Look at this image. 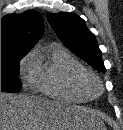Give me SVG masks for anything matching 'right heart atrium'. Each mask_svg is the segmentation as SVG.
<instances>
[{
	"label": "right heart atrium",
	"mask_w": 123,
	"mask_h": 130,
	"mask_svg": "<svg viewBox=\"0 0 123 130\" xmlns=\"http://www.w3.org/2000/svg\"><path fill=\"white\" fill-rule=\"evenodd\" d=\"M32 57L33 53H30L25 57V59L21 63V72L23 74H28L30 75L31 72V66H32Z\"/></svg>",
	"instance_id": "d8ad5b80"
}]
</instances>
